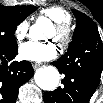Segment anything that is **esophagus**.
<instances>
[{
	"label": "esophagus",
	"mask_w": 103,
	"mask_h": 103,
	"mask_svg": "<svg viewBox=\"0 0 103 103\" xmlns=\"http://www.w3.org/2000/svg\"><path fill=\"white\" fill-rule=\"evenodd\" d=\"M32 66H33L34 69H37L38 67L41 66V63L33 62Z\"/></svg>",
	"instance_id": "obj_1"
}]
</instances>
